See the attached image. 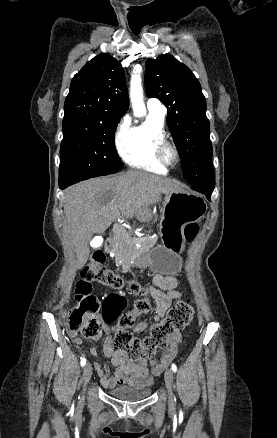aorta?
<instances>
[{
    "mask_svg": "<svg viewBox=\"0 0 277 438\" xmlns=\"http://www.w3.org/2000/svg\"><path fill=\"white\" fill-rule=\"evenodd\" d=\"M142 68L137 66V71L132 75L130 87V99L132 102L133 112L135 116L141 117L145 115L146 109L143 102V89L141 83Z\"/></svg>",
    "mask_w": 277,
    "mask_h": 438,
    "instance_id": "obj_1",
    "label": "aorta"
}]
</instances>
